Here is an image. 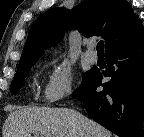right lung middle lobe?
<instances>
[{
    "label": "right lung middle lobe",
    "mask_w": 144,
    "mask_h": 137,
    "mask_svg": "<svg viewBox=\"0 0 144 137\" xmlns=\"http://www.w3.org/2000/svg\"><path fill=\"white\" fill-rule=\"evenodd\" d=\"M36 61H37V59H34V60H31L21 66H18L17 72L13 78V81H12V84L10 87V91L13 94H16L19 91V88L22 85V83L25 79V76L28 74L30 68L35 64ZM91 75H92V70H90L84 74L82 84L80 85L79 88H77L76 91L73 92L74 98H77L78 95L81 93L82 87L90 79Z\"/></svg>",
    "instance_id": "1"
}]
</instances>
